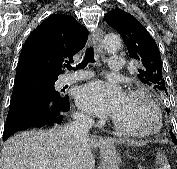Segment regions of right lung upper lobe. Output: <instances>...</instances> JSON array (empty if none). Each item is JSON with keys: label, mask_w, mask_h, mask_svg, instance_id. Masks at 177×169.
<instances>
[{"label": "right lung upper lobe", "mask_w": 177, "mask_h": 169, "mask_svg": "<svg viewBox=\"0 0 177 169\" xmlns=\"http://www.w3.org/2000/svg\"><path fill=\"white\" fill-rule=\"evenodd\" d=\"M88 31L75 18L53 14L39 25L26 40L17 72L38 73L58 78L65 62L86 44Z\"/></svg>", "instance_id": "cb5924a9"}]
</instances>
